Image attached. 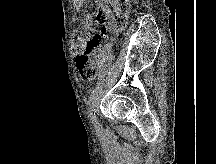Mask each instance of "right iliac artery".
<instances>
[{
    "label": "right iliac artery",
    "mask_w": 216,
    "mask_h": 164,
    "mask_svg": "<svg viewBox=\"0 0 216 164\" xmlns=\"http://www.w3.org/2000/svg\"><path fill=\"white\" fill-rule=\"evenodd\" d=\"M94 94H95V90L91 92V95L88 101V106H89L90 118L92 120V123H94V125L96 126L97 121H96L95 109H94Z\"/></svg>",
    "instance_id": "right-iliac-artery-1"
}]
</instances>
